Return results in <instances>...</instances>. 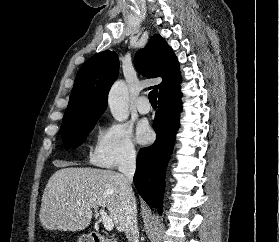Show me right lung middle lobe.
Segmentation results:
<instances>
[{"instance_id":"obj_1","label":"right lung middle lobe","mask_w":279,"mask_h":242,"mask_svg":"<svg viewBox=\"0 0 279 242\" xmlns=\"http://www.w3.org/2000/svg\"><path fill=\"white\" fill-rule=\"evenodd\" d=\"M99 117H91L77 124L62 125L60 134L64 137L65 148L69 145L78 147L85 139V136L92 130Z\"/></svg>"}]
</instances>
